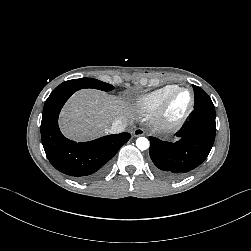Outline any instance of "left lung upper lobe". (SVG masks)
Masks as SVG:
<instances>
[{
  "label": "left lung upper lobe",
  "mask_w": 251,
  "mask_h": 251,
  "mask_svg": "<svg viewBox=\"0 0 251 251\" xmlns=\"http://www.w3.org/2000/svg\"><path fill=\"white\" fill-rule=\"evenodd\" d=\"M193 89L195 93L194 109L204 108L215 111V107L208 94L198 86L193 85Z\"/></svg>",
  "instance_id": "obj_1"
}]
</instances>
